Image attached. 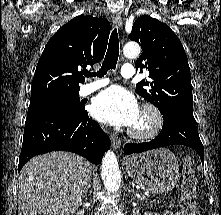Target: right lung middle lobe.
I'll return each mask as SVG.
<instances>
[{"mask_svg":"<svg viewBox=\"0 0 221 215\" xmlns=\"http://www.w3.org/2000/svg\"><path fill=\"white\" fill-rule=\"evenodd\" d=\"M84 111L79 100V93L56 94L30 101L27 118L31 116L58 113L67 116H76Z\"/></svg>","mask_w":221,"mask_h":215,"instance_id":"dd1d6c3e","label":"right lung middle lobe"}]
</instances>
